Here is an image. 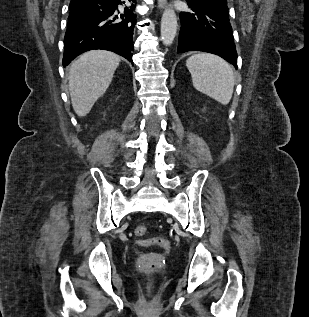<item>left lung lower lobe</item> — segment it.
Segmentation results:
<instances>
[{"mask_svg": "<svg viewBox=\"0 0 309 317\" xmlns=\"http://www.w3.org/2000/svg\"><path fill=\"white\" fill-rule=\"evenodd\" d=\"M188 5L190 12L179 14L181 29L177 52L204 51L213 53L237 68V52L229 12Z\"/></svg>", "mask_w": 309, "mask_h": 317, "instance_id": "0a47b994", "label": "left lung lower lobe"}]
</instances>
